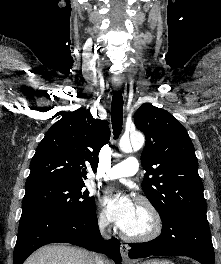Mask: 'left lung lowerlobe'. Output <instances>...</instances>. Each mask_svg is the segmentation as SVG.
Masks as SVG:
<instances>
[{"mask_svg":"<svg viewBox=\"0 0 221 264\" xmlns=\"http://www.w3.org/2000/svg\"><path fill=\"white\" fill-rule=\"evenodd\" d=\"M162 220V232L154 240L131 243L129 257L188 256L201 264H214V249L206 214H171Z\"/></svg>","mask_w":221,"mask_h":264,"instance_id":"1","label":"left lung lower lobe"}]
</instances>
